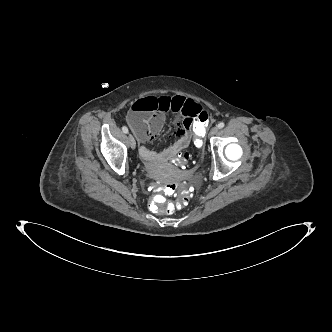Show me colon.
I'll list each match as a JSON object with an SVG mask.
<instances>
[{
    "instance_id": "colon-1",
    "label": "colon",
    "mask_w": 332,
    "mask_h": 332,
    "mask_svg": "<svg viewBox=\"0 0 332 332\" xmlns=\"http://www.w3.org/2000/svg\"><path fill=\"white\" fill-rule=\"evenodd\" d=\"M208 114L203 111L199 114L197 120L194 123L192 130L193 144L196 148L195 153L192 155L187 150H182L179 154L173 155L169 159V164L173 168L177 169H192L197 170L200 168L204 159L208 157L209 150L205 147L206 144V132L208 127ZM183 189V198L177 202V208H184L187 206L188 201L191 197V189L188 187L185 181H175L167 183L165 186L147 184L146 190L153 192H160L162 195L172 194L176 189ZM158 194L151 200V205L157 212L161 213H172L175 209L174 204L166 203L164 197Z\"/></svg>"
}]
</instances>
